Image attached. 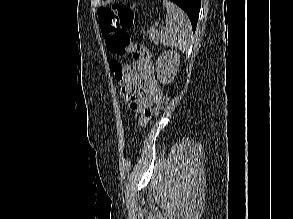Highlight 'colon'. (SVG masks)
Segmentation results:
<instances>
[{"label": "colon", "mask_w": 293, "mask_h": 219, "mask_svg": "<svg viewBox=\"0 0 293 219\" xmlns=\"http://www.w3.org/2000/svg\"><path fill=\"white\" fill-rule=\"evenodd\" d=\"M132 10L123 3H116L111 7H101L98 10L99 27L105 37L107 48L116 55L131 54L134 62L131 66L122 65L117 59L109 62V68L116 80L121 81L125 72L131 68L149 61L146 48L140 44H132L127 30L133 25ZM169 101L164 95L154 108V114H159Z\"/></svg>", "instance_id": "5ec220e1"}]
</instances>
